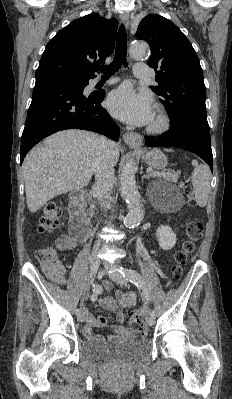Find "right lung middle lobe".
<instances>
[{
    "mask_svg": "<svg viewBox=\"0 0 232 399\" xmlns=\"http://www.w3.org/2000/svg\"><path fill=\"white\" fill-rule=\"evenodd\" d=\"M73 80L76 81V82H80V83H87L88 82V79L74 78Z\"/></svg>",
    "mask_w": 232,
    "mask_h": 399,
    "instance_id": "obj_1",
    "label": "right lung middle lobe"
}]
</instances>
